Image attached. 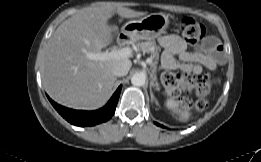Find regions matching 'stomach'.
Instances as JSON below:
<instances>
[{"mask_svg": "<svg viewBox=\"0 0 261 162\" xmlns=\"http://www.w3.org/2000/svg\"><path fill=\"white\" fill-rule=\"evenodd\" d=\"M169 18L162 13H152L141 19L131 20L122 27V33L133 41L153 40L165 33Z\"/></svg>", "mask_w": 261, "mask_h": 162, "instance_id": "1", "label": "stomach"}]
</instances>
